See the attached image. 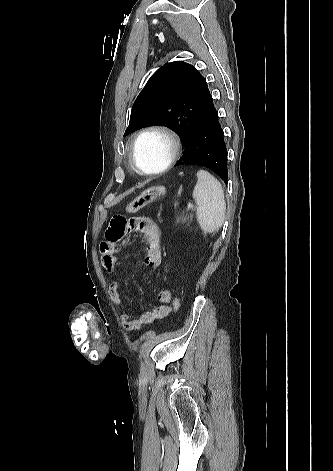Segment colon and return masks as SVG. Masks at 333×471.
Returning <instances> with one entry per match:
<instances>
[{
  "label": "colon",
  "instance_id": "colon-1",
  "mask_svg": "<svg viewBox=\"0 0 333 471\" xmlns=\"http://www.w3.org/2000/svg\"><path fill=\"white\" fill-rule=\"evenodd\" d=\"M166 193V188L162 185H154L146 190H144L140 195H138L135 199H133L126 207V211L129 214L135 213L145 206L149 205L153 201L157 200L158 198L164 196ZM173 308L176 312L179 311L180 308V300L178 297L173 299Z\"/></svg>",
  "mask_w": 333,
  "mask_h": 471
}]
</instances>
